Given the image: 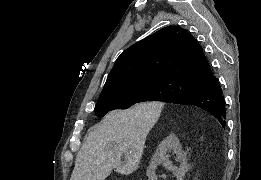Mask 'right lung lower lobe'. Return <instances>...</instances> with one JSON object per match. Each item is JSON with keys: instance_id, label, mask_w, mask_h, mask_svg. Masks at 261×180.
Returning <instances> with one entry per match:
<instances>
[{"instance_id": "1", "label": "right lung lower lobe", "mask_w": 261, "mask_h": 180, "mask_svg": "<svg viewBox=\"0 0 261 180\" xmlns=\"http://www.w3.org/2000/svg\"><path fill=\"white\" fill-rule=\"evenodd\" d=\"M169 103L190 104L198 106L212 116L222 125L226 124V106L222 87L213 72L204 77L199 86L187 93L175 96L168 101Z\"/></svg>"}]
</instances>
